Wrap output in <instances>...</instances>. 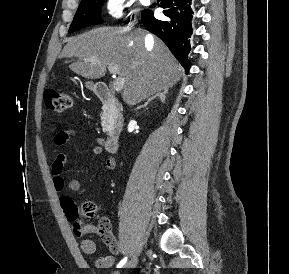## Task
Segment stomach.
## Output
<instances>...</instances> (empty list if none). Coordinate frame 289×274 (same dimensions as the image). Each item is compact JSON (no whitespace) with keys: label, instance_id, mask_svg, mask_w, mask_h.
<instances>
[{"label":"stomach","instance_id":"stomach-1","mask_svg":"<svg viewBox=\"0 0 289 274\" xmlns=\"http://www.w3.org/2000/svg\"><path fill=\"white\" fill-rule=\"evenodd\" d=\"M86 87L91 89V90L95 89V85L92 82H86Z\"/></svg>","mask_w":289,"mask_h":274}]
</instances>
